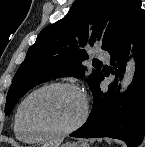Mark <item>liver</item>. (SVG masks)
Returning <instances> with one entry per match:
<instances>
[{"label": "liver", "mask_w": 145, "mask_h": 147, "mask_svg": "<svg viewBox=\"0 0 145 147\" xmlns=\"http://www.w3.org/2000/svg\"><path fill=\"white\" fill-rule=\"evenodd\" d=\"M60 144H61V140H56L53 142H48L44 144L42 147H59Z\"/></svg>", "instance_id": "liver-1"}]
</instances>
